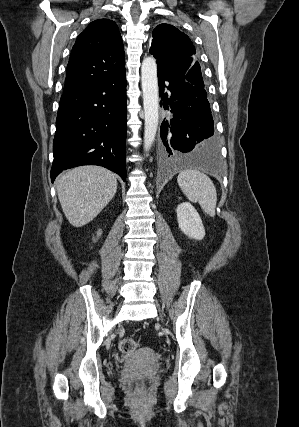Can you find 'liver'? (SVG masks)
Wrapping results in <instances>:
<instances>
[{"mask_svg":"<svg viewBox=\"0 0 299 427\" xmlns=\"http://www.w3.org/2000/svg\"><path fill=\"white\" fill-rule=\"evenodd\" d=\"M62 210L75 227L92 221L117 191L115 174L100 166H80L62 174L56 182Z\"/></svg>","mask_w":299,"mask_h":427,"instance_id":"obj_1","label":"liver"}]
</instances>
